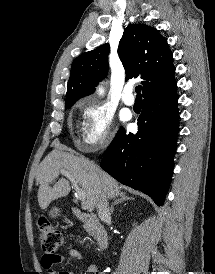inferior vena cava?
I'll list each match as a JSON object with an SVG mask.
<instances>
[{"mask_svg":"<svg viewBox=\"0 0 215 274\" xmlns=\"http://www.w3.org/2000/svg\"><path fill=\"white\" fill-rule=\"evenodd\" d=\"M97 211L101 220H107L110 218L108 197L105 190L102 191L101 197L98 201Z\"/></svg>","mask_w":215,"mask_h":274,"instance_id":"inferior-vena-cava-1","label":"inferior vena cava"}]
</instances>
